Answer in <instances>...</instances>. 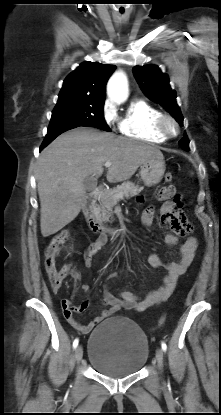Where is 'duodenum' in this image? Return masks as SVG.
<instances>
[{
  "mask_svg": "<svg viewBox=\"0 0 221 415\" xmlns=\"http://www.w3.org/2000/svg\"><path fill=\"white\" fill-rule=\"evenodd\" d=\"M101 190L99 188L93 190L87 197L83 205V214L86 222L92 232L98 235H117L120 233L118 228H110L101 224L95 214V207L97 199L99 198Z\"/></svg>",
  "mask_w": 221,
  "mask_h": 415,
  "instance_id": "duodenum-1",
  "label": "duodenum"
}]
</instances>
